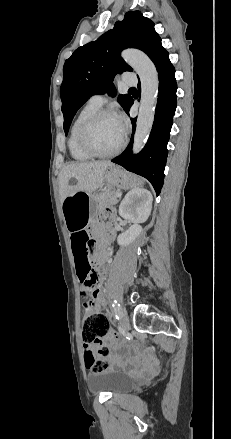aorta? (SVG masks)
I'll use <instances>...</instances> for the list:
<instances>
[{
  "instance_id": "aorta-1",
  "label": "aorta",
  "mask_w": 231,
  "mask_h": 439,
  "mask_svg": "<svg viewBox=\"0 0 231 439\" xmlns=\"http://www.w3.org/2000/svg\"><path fill=\"white\" fill-rule=\"evenodd\" d=\"M122 57L137 72L141 81L140 107L133 142V153H138L145 145L154 122L159 79L154 63L145 53L128 49L122 52Z\"/></svg>"
}]
</instances>
